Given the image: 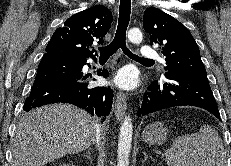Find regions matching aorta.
<instances>
[{
  "mask_svg": "<svg viewBox=\"0 0 231 166\" xmlns=\"http://www.w3.org/2000/svg\"><path fill=\"white\" fill-rule=\"evenodd\" d=\"M128 39L133 44H140L143 36L139 29L133 28L128 31ZM133 124L131 117L125 116L119 132L117 166H129V156L132 146Z\"/></svg>",
  "mask_w": 231,
  "mask_h": 166,
  "instance_id": "obj_1",
  "label": "aorta"
}]
</instances>
